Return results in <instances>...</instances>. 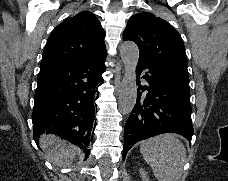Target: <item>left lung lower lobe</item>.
Here are the masks:
<instances>
[{
  "instance_id": "left-lung-lower-lobe-1",
  "label": "left lung lower lobe",
  "mask_w": 228,
  "mask_h": 181,
  "mask_svg": "<svg viewBox=\"0 0 228 181\" xmlns=\"http://www.w3.org/2000/svg\"><path fill=\"white\" fill-rule=\"evenodd\" d=\"M137 101L125 124L123 159L138 141L163 133L183 135L191 143L193 126L188 72L163 62L139 59Z\"/></svg>"
}]
</instances>
